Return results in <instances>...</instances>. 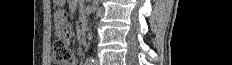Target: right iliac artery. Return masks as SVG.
<instances>
[{"label":"right iliac artery","mask_w":232,"mask_h":65,"mask_svg":"<svg viewBox=\"0 0 232 65\" xmlns=\"http://www.w3.org/2000/svg\"><path fill=\"white\" fill-rule=\"evenodd\" d=\"M94 60L92 58H89L86 62V65H93Z\"/></svg>","instance_id":"right-iliac-artery-1"}]
</instances>
